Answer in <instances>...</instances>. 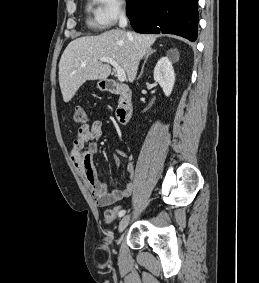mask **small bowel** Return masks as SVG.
I'll list each match as a JSON object with an SVG mask.
<instances>
[{"label":"small bowel","instance_id":"c3829d8e","mask_svg":"<svg viewBox=\"0 0 259 283\" xmlns=\"http://www.w3.org/2000/svg\"><path fill=\"white\" fill-rule=\"evenodd\" d=\"M101 136V121H93L89 124L82 125L76 132L69 156L76 170L87 183L96 204L99 206H108L129 197L133 193L136 174L134 164L129 162L126 166V174L129 182L122 189L108 192L107 183L98 179L96 169L93 165V157L98 153L97 141ZM125 156L126 153L122 149H117L113 153L112 159L116 168L121 166V158Z\"/></svg>","mask_w":259,"mask_h":283}]
</instances>
